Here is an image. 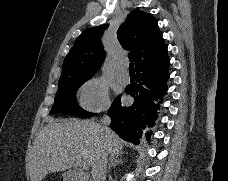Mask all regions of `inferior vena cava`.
Here are the masks:
<instances>
[{"label": "inferior vena cava", "mask_w": 228, "mask_h": 181, "mask_svg": "<svg viewBox=\"0 0 228 181\" xmlns=\"http://www.w3.org/2000/svg\"><path fill=\"white\" fill-rule=\"evenodd\" d=\"M107 109H109V107H106L105 111H107ZM110 123V117H108V115H104V117L100 119L99 123L94 125L95 135H105L109 129ZM108 155L109 151H107V149H100V151H97V153L92 155V181H105Z\"/></svg>", "instance_id": "obj_1"}]
</instances>
